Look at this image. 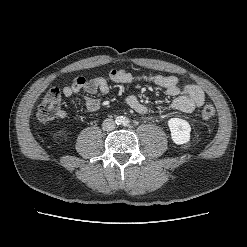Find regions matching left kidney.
Listing matches in <instances>:
<instances>
[{"instance_id": "obj_1", "label": "left kidney", "mask_w": 247, "mask_h": 247, "mask_svg": "<svg viewBox=\"0 0 247 247\" xmlns=\"http://www.w3.org/2000/svg\"><path fill=\"white\" fill-rule=\"evenodd\" d=\"M168 126L175 144L182 145L189 142L191 127L187 121L180 118H171L168 120Z\"/></svg>"}]
</instances>
